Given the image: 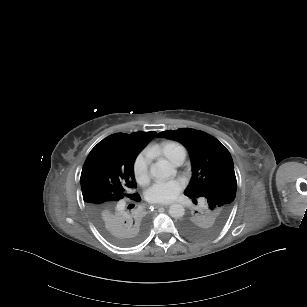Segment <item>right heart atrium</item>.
Wrapping results in <instances>:
<instances>
[{
    "mask_svg": "<svg viewBox=\"0 0 307 307\" xmlns=\"http://www.w3.org/2000/svg\"><path fill=\"white\" fill-rule=\"evenodd\" d=\"M134 173L137 178H143L148 174V165L143 154L137 156L134 162Z\"/></svg>",
    "mask_w": 307,
    "mask_h": 307,
    "instance_id": "obj_1",
    "label": "right heart atrium"
}]
</instances>
